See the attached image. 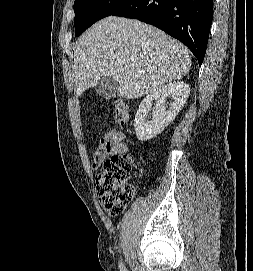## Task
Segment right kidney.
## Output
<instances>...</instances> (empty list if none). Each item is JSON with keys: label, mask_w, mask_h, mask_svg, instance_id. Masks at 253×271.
<instances>
[{"label": "right kidney", "mask_w": 253, "mask_h": 271, "mask_svg": "<svg viewBox=\"0 0 253 271\" xmlns=\"http://www.w3.org/2000/svg\"><path fill=\"white\" fill-rule=\"evenodd\" d=\"M190 94L189 85L183 81H175L154 89L140 103L135 115L134 128L140 141H147L160 134L178 115ZM171 97L173 103L166 110V98ZM156 104L152 108V102ZM152 110L151 119H147Z\"/></svg>", "instance_id": "right-kidney-1"}]
</instances>
